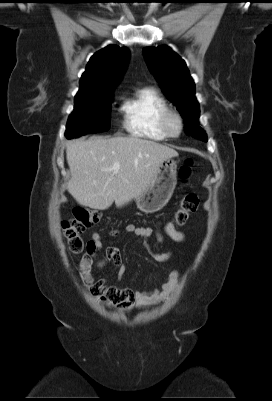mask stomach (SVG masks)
<instances>
[{
    "instance_id": "0dacf381",
    "label": "stomach",
    "mask_w": 272,
    "mask_h": 401,
    "mask_svg": "<svg viewBox=\"0 0 272 401\" xmlns=\"http://www.w3.org/2000/svg\"><path fill=\"white\" fill-rule=\"evenodd\" d=\"M177 184V164L172 158L164 160L150 184L137 197L135 202L144 213L161 210L170 200Z\"/></svg>"
}]
</instances>
